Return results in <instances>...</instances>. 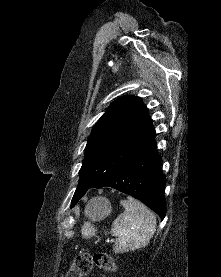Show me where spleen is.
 <instances>
[{
	"label": "spleen",
	"instance_id": "spleen-1",
	"mask_svg": "<svg viewBox=\"0 0 221 277\" xmlns=\"http://www.w3.org/2000/svg\"><path fill=\"white\" fill-rule=\"evenodd\" d=\"M120 204L124 207V212L114 220L111 229L116 237L114 252L124 253L147 246L156 230L154 214L145 205L130 197L121 200ZM86 213H89L88 207ZM95 232L90 222H86L82 227L84 238H90Z\"/></svg>",
	"mask_w": 221,
	"mask_h": 277
}]
</instances>
